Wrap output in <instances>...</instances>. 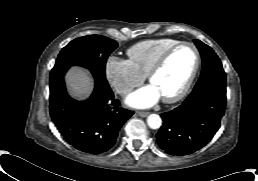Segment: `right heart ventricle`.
<instances>
[{
  "instance_id": "e07e8e85",
  "label": "right heart ventricle",
  "mask_w": 258,
  "mask_h": 181,
  "mask_svg": "<svg viewBox=\"0 0 258 181\" xmlns=\"http://www.w3.org/2000/svg\"><path fill=\"white\" fill-rule=\"evenodd\" d=\"M178 42L180 41L171 38L138 42L127 50L128 61L137 72L146 77L161 54Z\"/></svg>"
}]
</instances>
